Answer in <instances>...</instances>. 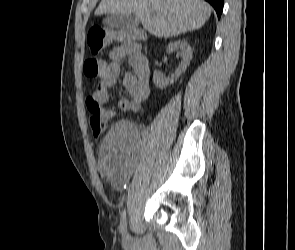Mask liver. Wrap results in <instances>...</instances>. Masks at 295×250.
<instances>
[{"label":"liver","mask_w":295,"mask_h":250,"mask_svg":"<svg viewBox=\"0 0 295 250\" xmlns=\"http://www.w3.org/2000/svg\"><path fill=\"white\" fill-rule=\"evenodd\" d=\"M134 14L143 28L158 38L200 29L211 15L202 0H101L95 15Z\"/></svg>","instance_id":"obj_1"}]
</instances>
